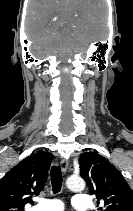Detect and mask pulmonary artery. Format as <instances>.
I'll list each match as a JSON object with an SVG mask.
<instances>
[{
  "label": "pulmonary artery",
  "mask_w": 133,
  "mask_h": 211,
  "mask_svg": "<svg viewBox=\"0 0 133 211\" xmlns=\"http://www.w3.org/2000/svg\"><path fill=\"white\" fill-rule=\"evenodd\" d=\"M72 206L78 211H86L91 208V200L85 194H75ZM63 209V203L58 199H40L30 211H63Z\"/></svg>",
  "instance_id": "1"
}]
</instances>
